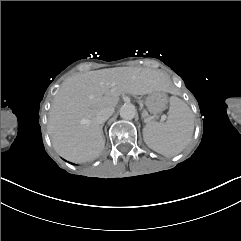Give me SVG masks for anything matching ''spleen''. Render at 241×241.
<instances>
[{
  "mask_svg": "<svg viewBox=\"0 0 241 241\" xmlns=\"http://www.w3.org/2000/svg\"><path fill=\"white\" fill-rule=\"evenodd\" d=\"M193 131L192 111L182 100L171 97L167 122L147 123L143 128V139L155 152L164 156H174L188 145Z\"/></svg>",
  "mask_w": 241,
  "mask_h": 241,
  "instance_id": "spleen-1",
  "label": "spleen"
}]
</instances>
